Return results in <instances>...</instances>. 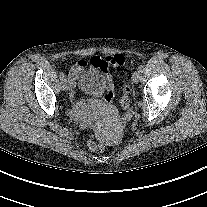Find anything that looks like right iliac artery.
Segmentation results:
<instances>
[{"label":"right iliac artery","mask_w":207,"mask_h":207,"mask_svg":"<svg viewBox=\"0 0 207 207\" xmlns=\"http://www.w3.org/2000/svg\"><path fill=\"white\" fill-rule=\"evenodd\" d=\"M64 77H65V73L64 72H60V78L64 79Z\"/></svg>","instance_id":"82829eb1"}]
</instances>
